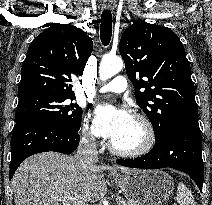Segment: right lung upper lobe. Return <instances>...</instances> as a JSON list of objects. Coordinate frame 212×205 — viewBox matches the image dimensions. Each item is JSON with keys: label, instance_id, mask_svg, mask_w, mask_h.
<instances>
[{"label": "right lung upper lobe", "instance_id": "cb5924a9", "mask_svg": "<svg viewBox=\"0 0 212 205\" xmlns=\"http://www.w3.org/2000/svg\"><path fill=\"white\" fill-rule=\"evenodd\" d=\"M92 39L72 24H52L30 44L22 67L19 98L33 94L73 96V76L83 74Z\"/></svg>", "mask_w": 212, "mask_h": 205}]
</instances>
